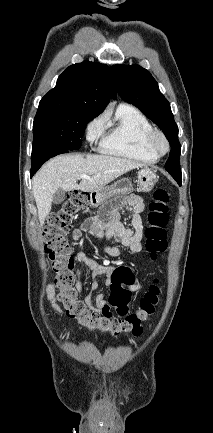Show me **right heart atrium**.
Returning <instances> with one entry per match:
<instances>
[{
	"mask_svg": "<svg viewBox=\"0 0 213 433\" xmlns=\"http://www.w3.org/2000/svg\"><path fill=\"white\" fill-rule=\"evenodd\" d=\"M104 118L98 116L92 119L86 126V138L88 141H93L94 138L102 131Z\"/></svg>",
	"mask_w": 213,
	"mask_h": 433,
	"instance_id": "right-heart-atrium-1",
	"label": "right heart atrium"
}]
</instances>
